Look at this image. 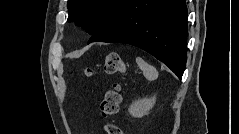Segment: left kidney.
Instances as JSON below:
<instances>
[{
  "label": "left kidney",
  "mask_w": 239,
  "mask_h": 134,
  "mask_svg": "<svg viewBox=\"0 0 239 134\" xmlns=\"http://www.w3.org/2000/svg\"><path fill=\"white\" fill-rule=\"evenodd\" d=\"M156 102V98H143L133 102L128 111L135 118H141L149 114V111L153 108Z\"/></svg>",
  "instance_id": "obj_1"
}]
</instances>
